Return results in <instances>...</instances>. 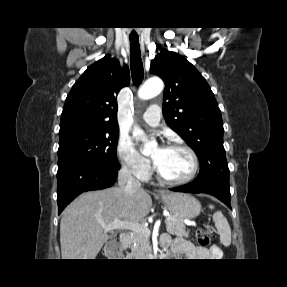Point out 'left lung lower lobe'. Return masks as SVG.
I'll list each match as a JSON object with an SVG mask.
<instances>
[{
	"instance_id": "0a47b994",
	"label": "left lung lower lobe",
	"mask_w": 287,
	"mask_h": 287,
	"mask_svg": "<svg viewBox=\"0 0 287 287\" xmlns=\"http://www.w3.org/2000/svg\"><path fill=\"white\" fill-rule=\"evenodd\" d=\"M175 192H185V193H206L215 196L223 203H225L230 209V186L227 183L220 181L212 182H192L180 187L172 188Z\"/></svg>"
}]
</instances>
